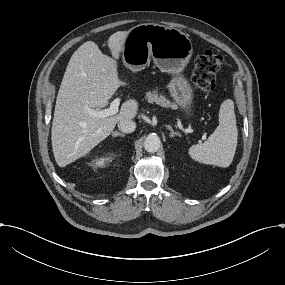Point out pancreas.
I'll return each instance as SVG.
<instances>
[{"instance_id":"cf45deb5","label":"pancreas","mask_w":285,"mask_h":285,"mask_svg":"<svg viewBox=\"0 0 285 285\" xmlns=\"http://www.w3.org/2000/svg\"><path fill=\"white\" fill-rule=\"evenodd\" d=\"M148 101L149 102H154L157 105H160L162 107H168L171 109H176L177 107L175 105H173L169 100H166V98L162 97V96H157V95H153L152 93L148 94Z\"/></svg>"}]
</instances>
